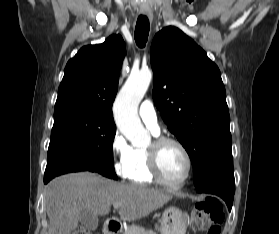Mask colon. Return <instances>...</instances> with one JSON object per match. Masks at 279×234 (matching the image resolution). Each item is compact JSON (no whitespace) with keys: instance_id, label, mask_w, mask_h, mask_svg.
Masks as SVG:
<instances>
[{"instance_id":"1","label":"colon","mask_w":279,"mask_h":234,"mask_svg":"<svg viewBox=\"0 0 279 234\" xmlns=\"http://www.w3.org/2000/svg\"><path fill=\"white\" fill-rule=\"evenodd\" d=\"M224 206L220 199L209 197L195 205L190 219L193 231H207V234H222L224 222ZM74 234H91L85 228L78 229Z\"/></svg>"}]
</instances>
